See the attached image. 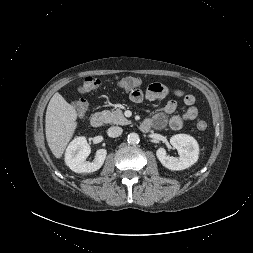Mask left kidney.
<instances>
[{
  "mask_svg": "<svg viewBox=\"0 0 253 253\" xmlns=\"http://www.w3.org/2000/svg\"><path fill=\"white\" fill-rule=\"evenodd\" d=\"M170 143L178 150L179 159L167 155L164 148L156 151V156L161 164L170 170H183L197 162L199 145L197 141L187 134H176L170 138Z\"/></svg>",
  "mask_w": 253,
  "mask_h": 253,
  "instance_id": "obj_1",
  "label": "left kidney"
}]
</instances>
